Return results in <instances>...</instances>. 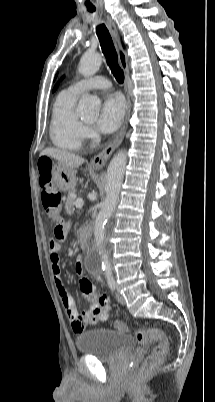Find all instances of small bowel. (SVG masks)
<instances>
[{
	"instance_id": "obj_1",
	"label": "small bowel",
	"mask_w": 215,
	"mask_h": 402,
	"mask_svg": "<svg viewBox=\"0 0 215 402\" xmlns=\"http://www.w3.org/2000/svg\"><path fill=\"white\" fill-rule=\"evenodd\" d=\"M69 232V226L59 224L54 230V238L48 240V249L50 252L51 271L54 283L65 309L66 315L71 322L74 332L79 333L86 325L96 324L106 321L109 316L110 306L108 297L102 296L98 288L88 279L81 278L79 281L80 290L83 296L92 304L90 310L78 313L74 300L69 294L63 279L61 277L60 267V250L61 243L65 241ZM75 271L78 275L83 273V263L81 258H77L75 263Z\"/></svg>"
}]
</instances>
